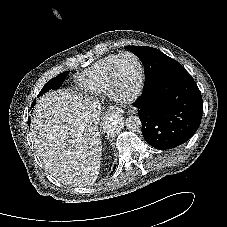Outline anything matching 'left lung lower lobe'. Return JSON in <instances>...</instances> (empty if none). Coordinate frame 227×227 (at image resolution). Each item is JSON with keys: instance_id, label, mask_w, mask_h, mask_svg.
<instances>
[{"instance_id": "0a47b994", "label": "left lung lower lobe", "mask_w": 227, "mask_h": 227, "mask_svg": "<svg viewBox=\"0 0 227 227\" xmlns=\"http://www.w3.org/2000/svg\"><path fill=\"white\" fill-rule=\"evenodd\" d=\"M133 105L142 123L144 139L158 149H171L185 143L201 123V93L186 70L169 74L145 87Z\"/></svg>"}]
</instances>
